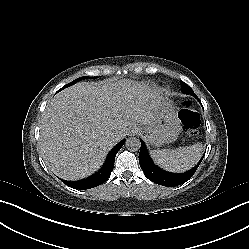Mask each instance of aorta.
I'll list each match as a JSON object with an SVG mask.
<instances>
[{
  "label": "aorta",
  "mask_w": 249,
  "mask_h": 249,
  "mask_svg": "<svg viewBox=\"0 0 249 249\" xmlns=\"http://www.w3.org/2000/svg\"><path fill=\"white\" fill-rule=\"evenodd\" d=\"M125 146L130 151H137L140 148V140L137 138H129L126 140Z\"/></svg>",
  "instance_id": "1"
}]
</instances>
